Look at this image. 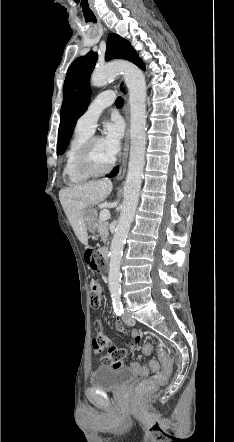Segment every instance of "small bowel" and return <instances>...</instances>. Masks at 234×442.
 <instances>
[{
    "mask_svg": "<svg viewBox=\"0 0 234 442\" xmlns=\"http://www.w3.org/2000/svg\"><path fill=\"white\" fill-rule=\"evenodd\" d=\"M97 285H98L99 290L102 292L101 285L98 282H97ZM115 328L119 332H122V333L127 332L124 325L119 320H116ZM104 331H105V328H104L103 323L95 322V329L93 331V334L95 336V338H94L95 343H93V348L97 353L101 352L102 350H108V353L103 357V361L105 363H107V367H110V364L112 365L113 356L119 351V349L117 348V346L114 343L111 342V340L108 338V336H106ZM134 338L136 341H139L140 335L137 334V335H135ZM130 350L131 349H129L128 352ZM142 352H143V350H142ZM124 366H126L125 360H124Z\"/></svg>",
    "mask_w": 234,
    "mask_h": 442,
    "instance_id": "1",
    "label": "small bowel"
}]
</instances>
